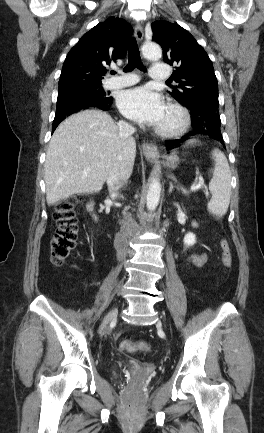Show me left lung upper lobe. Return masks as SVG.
<instances>
[{"label": "left lung upper lobe", "mask_w": 264, "mask_h": 433, "mask_svg": "<svg viewBox=\"0 0 264 433\" xmlns=\"http://www.w3.org/2000/svg\"><path fill=\"white\" fill-rule=\"evenodd\" d=\"M152 40L163 49L164 61L175 64L172 78L179 83L169 94L188 107L204 101L218 102V84L211 60L184 28L168 21L152 23Z\"/></svg>", "instance_id": "left-lung-upper-lobe-1"}]
</instances>
